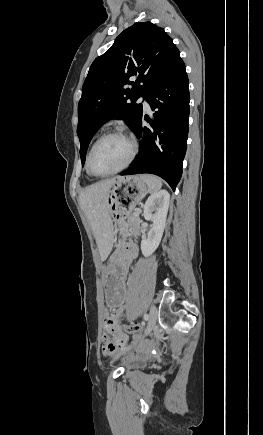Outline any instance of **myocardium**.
I'll return each instance as SVG.
<instances>
[{"label":"myocardium","mask_w":263,"mask_h":435,"mask_svg":"<svg viewBox=\"0 0 263 435\" xmlns=\"http://www.w3.org/2000/svg\"><path fill=\"white\" fill-rule=\"evenodd\" d=\"M109 137H121V138L127 140L130 143L131 152H130V155H129L128 159L126 160V162L121 167H119V168H117V169H115L113 171H110V172L99 173V172H96L93 169V167H92V164H91L92 155H93V152H94L95 148L97 147V145L100 142H102L103 140H105V139H107ZM137 152H138V145H137V142L135 141V139L132 136H130L129 134H127V133H125V132H123L121 130H111V131H108V132L102 134L93 143V145L90 148V151H89V153L87 155L86 168H87V170L89 171V173L91 175L96 176V177H107V176L115 175L117 173L122 172L123 170H125L127 167L130 166V164L135 159V157L137 155Z\"/></svg>","instance_id":"1"}]
</instances>
